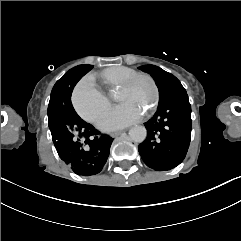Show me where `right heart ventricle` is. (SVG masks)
<instances>
[{
	"instance_id": "obj_1",
	"label": "right heart ventricle",
	"mask_w": 241,
	"mask_h": 241,
	"mask_svg": "<svg viewBox=\"0 0 241 241\" xmlns=\"http://www.w3.org/2000/svg\"><path fill=\"white\" fill-rule=\"evenodd\" d=\"M131 73H134V70L128 67L121 65L110 66L96 76L98 79V84L95 88L97 92L100 93L103 87H116L118 89V87L123 86L121 85L123 76Z\"/></svg>"
}]
</instances>
